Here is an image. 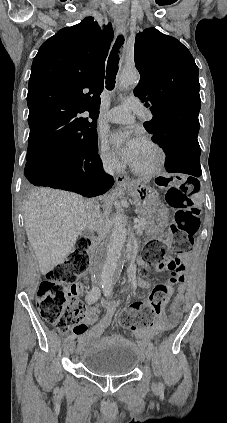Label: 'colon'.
Here are the masks:
<instances>
[{"label": "colon", "mask_w": 227, "mask_h": 423, "mask_svg": "<svg viewBox=\"0 0 227 423\" xmlns=\"http://www.w3.org/2000/svg\"><path fill=\"white\" fill-rule=\"evenodd\" d=\"M156 184L165 190L167 203L176 209L171 228L172 252H188L200 226V209L193 201L198 183L189 178L179 181L159 178ZM89 246L90 240L80 237L69 257L47 273L37 291L36 302L42 317L62 332L82 322L85 316V308L78 299L79 285L76 280L84 276L89 267ZM143 259L161 270H167L169 284L184 278L181 261L168 255L164 240L149 241ZM142 276L147 277L146 270L142 271ZM169 284L157 285L147 302H135L125 308L120 315L122 325L133 330L151 325L153 316L163 312L171 296Z\"/></svg>", "instance_id": "obj_1"}]
</instances>
